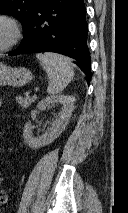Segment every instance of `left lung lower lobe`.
<instances>
[{
    "label": "left lung lower lobe",
    "instance_id": "obj_1",
    "mask_svg": "<svg viewBox=\"0 0 128 213\" xmlns=\"http://www.w3.org/2000/svg\"><path fill=\"white\" fill-rule=\"evenodd\" d=\"M83 0H39L24 38L9 55L55 52L78 61L90 81L91 58L87 46Z\"/></svg>",
    "mask_w": 128,
    "mask_h": 213
}]
</instances>
